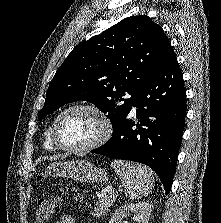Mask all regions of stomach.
<instances>
[{"instance_id":"stomach-1","label":"stomach","mask_w":221,"mask_h":223,"mask_svg":"<svg viewBox=\"0 0 221 223\" xmlns=\"http://www.w3.org/2000/svg\"><path fill=\"white\" fill-rule=\"evenodd\" d=\"M46 174L83 183L103 182L107 179L105 170L97 168L86 160L55 162L47 167Z\"/></svg>"}]
</instances>
